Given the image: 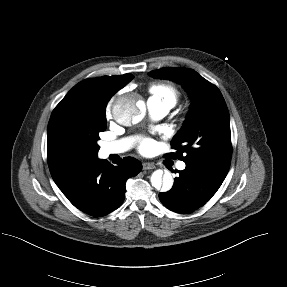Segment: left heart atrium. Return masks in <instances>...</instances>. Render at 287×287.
Returning a JSON list of instances; mask_svg holds the SVG:
<instances>
[{"label":"left heart atrium","instance_id":"39dd6f15","mask_svg":"<svg viewBox=\"0 0 287 287\" xmlns=\"http://www.w3.org/2000/svg\"><path fill=\"white\" fill-rule=\"evenodd\" d=\"M152 147H153V141L150 139H144L140 143L139 150L142 153H147L152 149Z\"/></svg>","mask_w":287,"mask_h":287}]
</instances>
